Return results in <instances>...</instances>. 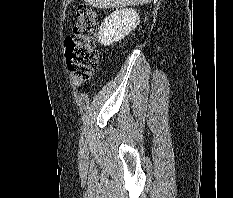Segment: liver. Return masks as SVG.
<instances>
[{
  "label": "liver",
  "mask_w": 233,
  "mask_h": 198,
  "mask_svg": "<svg viewBox=\"0 0 233 198\" xmlns=\"http://www.w3.org/2000/svg\"><path fill=\"white\" fill-rule=\"evenodd\" d=\"M88 5L99 8V9H109V8H119L132 5H143L148 4L152 0H84Z\"/></svg>",
  "instance_id": "liver-1"
}]
</instances>
